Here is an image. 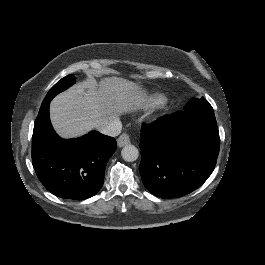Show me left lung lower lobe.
<instances>
[{
	"mask_svg": "<svg viewBox=\"0 0 265 265\" xmlns=\"http://www.w3.org/2000/svg\"><path fill=\"white\" fill-rule=\"evenodd\" d=\"M140 138L142 181L158 197L175 198L194 191L215 168L220 138L213 108L206 100L144 125Z\"/></svg>",
	"mask_w": 265,
	"mask_h": 265,
	"instance_id": "0a47b994",
	"label": "left lung lower lobe"
}]
</instances>
